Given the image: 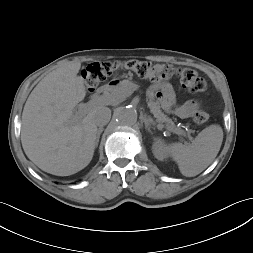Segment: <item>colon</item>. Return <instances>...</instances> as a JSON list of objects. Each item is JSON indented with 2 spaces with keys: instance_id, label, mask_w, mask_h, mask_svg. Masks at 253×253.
<instances>
[{
  "instance_id": "1",
  "label": "colon",
  "mask_w": 253,
  "mask_h": 253,
  "mask_svg": "<svg viewBox=\"0 0 253 253\" xmlns=\"http://www.w3.org/2000/svg\"><path fill=\"white\" fill-rule=\"evenodd\" d=\"M120 69L133 71L141 78L154 81L178 78L183 87L192 94L201 93L207 87L205 79L190 68L176 67L166 63L154 64L135 59L92 63L83 69L82 75L87 87L93 90L99 83ZM208 117L204 109L198 108L193 113L192 119L195 124L202 125L208 120Z\"/></svg>"
}]
</instances>
